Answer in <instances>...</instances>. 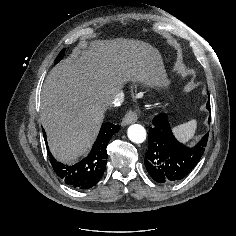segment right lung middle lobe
I'll list each match as a JSON object with an SVG mask.
<instances>
[{"mask_svg": "<svg viewBox=\"0 0 236 236\" xmlns=\"http://www.w3.org/2000/svg\"><path fill=\"white\" fill-rule=\"evenodd\" d=\"M63 55H64V50H62V51L60 52V54H59V56L57 57L55 63H58V62L62 59Z\"/></svg>", "mask_w": 236, "mask_h": 236, "instance_id": "dd1d6c3e", "label": "right lung middle lobe"}]
</instances>
